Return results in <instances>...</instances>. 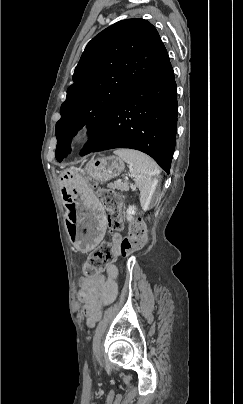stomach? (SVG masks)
Returning a JSON list of instances; mask_svg holds the SVG:
<instances>
[{
	"mask_svg": "<svg viewBox=\"0 0 243 404\" xmlns=\"http://www.w3.org/2000/svg\"><path fill=\"white\" fill-rule=\"evenodd\" d=\"M124 168V162L119 157H98L87 165L86 173L99 182H106L119 176ZM60 185L68 208L65 218L67 233L77 250L91 251L104 236L105 210L82 173L65 170L60 176Z\"/></svg>",
	"mask_w": 243,
	"mask_h": 404,
	"instance_id": "0dacf381",
	"label": "stomach"
}]
</instances>
